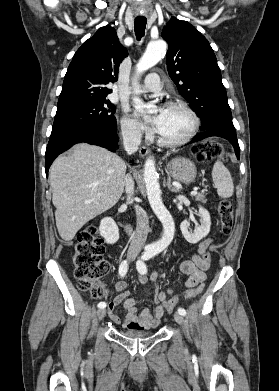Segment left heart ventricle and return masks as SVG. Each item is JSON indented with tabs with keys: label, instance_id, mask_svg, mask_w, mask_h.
Here are the masks:
<instances>
[{
	"label": "left heart ventricle",
	"instance_id": "obj_1",
	"mask_svg": "<svg viewBox=\"0 0 279 391\" xmlns=\"http://www.w3.org/2000/svg\"><path fill=\"white\" fill-rule=\"evenodd\" d=\"M192 125L189 114L179 107L166 108L160 120L157 132L167 140L183 138Z\"/></svg>",
	"mask_w": 279,
	"mask_h": 391
}]
</instances>
